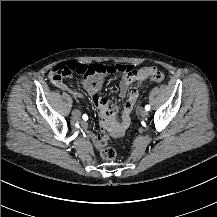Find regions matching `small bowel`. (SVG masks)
Instances as JSON below:
<instances>
[{"mask_svg":"<svg viewBox=\"0 0 217 217\" xmlns=\"http://www.w3.org/2000/svg\"><path fill=\"white\" fill-rule=\"evenodd\" d=\"M146 67V66H145ZM151 76H131L129 73H125L121 79L119 86V94L121 97H126L127 100L122 110V116L120 122L117 121L118 112L117 106H108L107 99L100 94V89L103 82V75L96 74L92 76L84 77L80 85L82 89L87 92L91 98V102L98 108V116L100 117L101 126L107 130L109 137L120 136L123 134V130L126 129L130 124V116L134 109V106L139 97V91L133 87L129 90L130 85L134 81H143L149 79ZM54 84L57 85L61 90L70 93L76 98L81 97V94L73 89L68 88L60 78L54 79ZM83 127L86 129L87 126L83 123ZM87 135L93 138V144L97 151L99 150L98 136H95L91 131H87Z\"/></svg>","mask_w":217,"mask_h":217,"instance_id":"1","label":"small bowel"}]
</instances>
